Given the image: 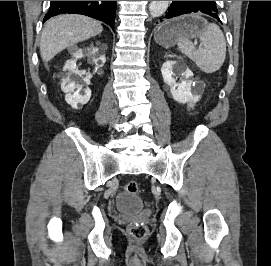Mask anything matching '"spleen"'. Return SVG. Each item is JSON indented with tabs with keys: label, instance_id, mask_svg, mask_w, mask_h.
Returning a JSON list of instances; mask_svg holds the SVG:
<instances>
[{
	"label": "spleen",
	"instance_id": "spleen-1",
	"mask_svg": "<svg viewBox=\"0 0 271 266\" xmlns=\"http://www.w3.org/2000/svg\"><path fill=\"white\" fill-rule=\"evenodd\" d=\"M201 48L196 49L188 39L178 42L179 50L207 74L216 72L221 68L226 57L225 37L218 25L206 23L200 33Z\"/></svg>",
	"mask_w": 271,
	"mask_h": 266
}]
</instances>
